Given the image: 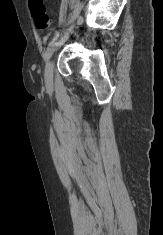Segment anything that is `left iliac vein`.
Wrapping results in <instances>:
<instances>
[{"instance_id":"1","label":"left iliac vein","mask_w":163,"mask_h":235,"mask_svg":"<svg viewBox=\"0 0 163 235\" xmlns=\"http://www.w3.org/2000/svg\"><path fill=\"white\" fill-rule=\"evenodd\" d=\"M53 60L49 59L46 63V67H45V78L47 82H52L53 80Z\"/></svg>"}]
</instances>
